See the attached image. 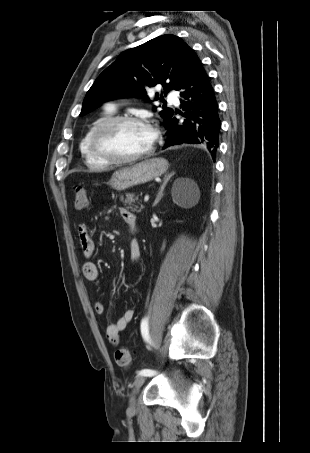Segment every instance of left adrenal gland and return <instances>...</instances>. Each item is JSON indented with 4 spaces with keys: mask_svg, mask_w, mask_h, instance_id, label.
<instances>
[{
    "mask_svg": "<svg viewBox=\"0 0 310 453\" xmlns=\"http://www.w3.org/2000/svg\"><path fill=\"white\" fill-rule=\"evenodd\" d=\"M173 175H174V172L166 173V174H165V176H164V178H163V183H162V185H161V187H160V189H159V192H158V194H157V196H156V199H155V201H154V203H153V207L156 206V205L159 203V201L161 200V198L163 197L164 188H165L167 182L170 180V178H171Z\"/></svg>",
    "mask_w": 310,
    "mask_h": 453,
    "instance_id": "1",
    "label": "left adrenal gland"
}]
</instances>
